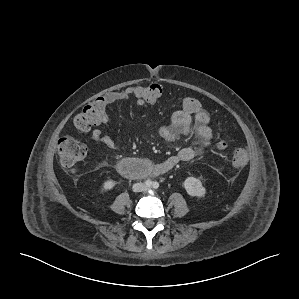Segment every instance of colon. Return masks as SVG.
<instances>
[{
	"label": "colon",
	"instance_id": "5ec220e1",
	"mask_svg": "<svg viewBox=\"0 0 299 299\" xmlns=\"http://www.w3.org/2000/svg\"><path fill=\"white\" fill-rule=\"evenodd\" d=\"M137 97L146 103L156 101L161 95V87L157 84H147L135 87ZM181 107L188 113L197 112L201 106L197 99L185 95L181 99ZM105 112V104L99 98L87 104L80 113L73 119V125L78 131H88L93 125L101 120ZM58 155L63 166L74 169L86 156L87 146L80 140L65 136L58 141ZM219 153L226 151L227 144L219 141L216 145ZM248 162L247 152L244 149H237L232 158V164L236 168L244 167Z\"/></svg>",
	"mask_w": 299,
	"mask_h": 299
}]
</instances>
